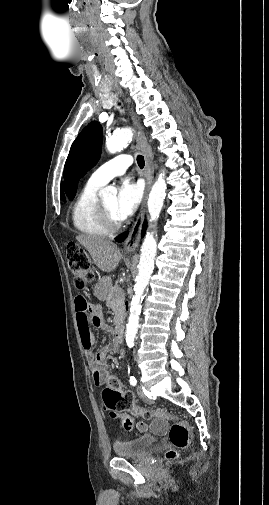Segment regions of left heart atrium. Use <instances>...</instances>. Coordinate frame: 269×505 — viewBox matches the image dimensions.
I'll list each match as a JSON object with an SVG mask.
<instances>
[{"label":"left heart atrium","instance_id":"left-heart-atrium-1","mask_svg":"<svg viewBox=\"0 0 269 505\" xmlns=\"http://www.w3.org/2000/svg\"><path fill=\"white\" fill-rule=\"evenodd\" d=\"M142 197L140 185L124 180L116 197L115 212L119 220H125L137 209Z\"/></svg>","mask_w":269,"mask_h":505}]
</instances>
